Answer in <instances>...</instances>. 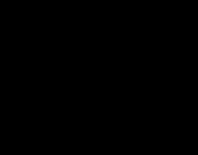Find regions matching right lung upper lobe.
<instances>
[{"mask_svg":"<svg viewBox=\"0 0 198 155\" xmlns=\"http://www.w3.org/2000/svg\"><path fill=\"white\" fill-rule=\"evenodd\" d=\"M93 82L86 76L75 74L62 83L56 93L60 107L73 108L83 104L93 90Z\"/></svg>","mask_w":198,"mask_h":155,"instance_id":"right-lung-upper-lobe-1","label":"right lung upper lobe"}]
</instances>
